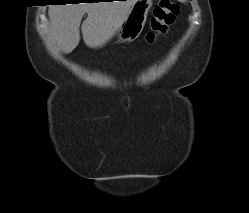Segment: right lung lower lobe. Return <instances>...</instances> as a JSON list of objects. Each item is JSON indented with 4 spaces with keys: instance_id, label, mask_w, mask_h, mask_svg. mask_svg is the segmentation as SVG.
<instances>
[{
    "instance_id": "1",
    "label": "right lung lower lobe",
    "mask_w": 249,
    "mask_h": 213,
    "mask_svg": "<svg viewBox=\"0 0 249 213\" xmlns=\"http://www.w3.org/2000/svg\"><path fill=\"white\" fill-rule=\"evenodd\" d=\"M91 1H96V0H91ZM59 3H62V2H59ZM93 3V2H92Z\"/></svg>"
}]
</instances>
